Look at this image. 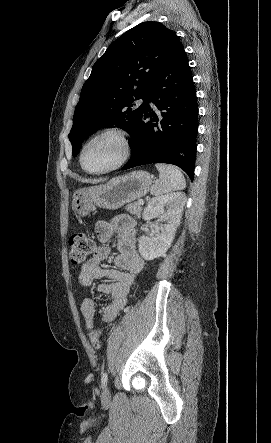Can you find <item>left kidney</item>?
<instances>
[{
  "mask_svg": "<svg viewBox=\"0 0 271 443\" xmlns=\"http://www.w3.org/2000/svg\"><path fill=\"white\" fill-rule=\"evenodd\" d=\"M186 196L182 192H175V194H167V196H159L153 198L149 202L147 208L143 212V220H153L159 218L163 225L160 231L155 235H142L139 239V253L143 259H155L164 255L169 249L176 229L180 225V218L182 216L183 208L185 206ZM166 206V210L164 208Z\"/></svg>",
  "mask_w": 271,
  "mask_h": 443,
  "instance_id": "1",
  "label": "left kidney"
}]
</instances>
